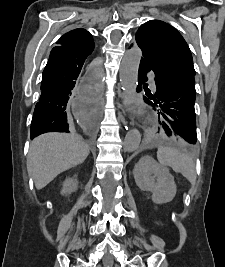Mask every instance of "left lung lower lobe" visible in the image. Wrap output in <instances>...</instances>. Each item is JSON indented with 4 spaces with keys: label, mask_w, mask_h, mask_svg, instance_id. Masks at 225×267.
Returning <instances> with one entry per match:
<instances>
[{
    "label": "left lung lower lobe",
    "mask_w": 225,
    "mask_h": 267,
    "mask_svg": "<svg viewBox=\"0 0 225 267\" xmlns=\"http://www.w3.org/2000/svg\"><path fill=\"white\" fill-rule=\"evenodd\" d=\"M149 71L155 73V94L144 84ZM194 75L183 68L157 69L144 57L141 58L138 71L137 92L145 90L143 98L160 111L158 114L163 118L166 134L180 137L187 147H193L197 141Z\"/></svg>",
    "instance_id": "0a47b994"
}]
</instances>
